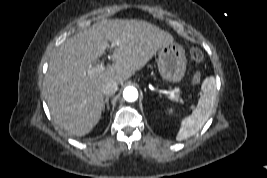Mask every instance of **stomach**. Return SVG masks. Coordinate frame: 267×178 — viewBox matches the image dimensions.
I'll use <instances>...</instances> for the list:
<instances>
[{
  "label": "stomach",
  "mask_w": 267,
  "mask_h": 178,
  "mask_svg": "<svg viewBox=\"0 0 267 178\" xmlns=\"http://www.w3.org/2000/svg\"><path fill=\"white\" fill-rule=\"evenodd\" d=\"M186 56L183 47L175 42L163 45L158 52V70L162 79L179 82L186 71Z\"/></svg>",
  "instance_id": "0dacf381"
}]
</instances>
